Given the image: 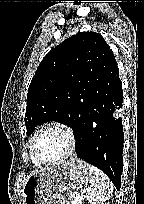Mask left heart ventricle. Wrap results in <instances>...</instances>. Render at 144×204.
<instances>
[{
  "instance_id": "left-heart-ventricle-1",
  "label": "left heart ventricle",
  "mask_w": 144,
  "mask_h": 204,
  "mask_svg": "<svg viewBox=\"0 0 144 204\" xmlns=\"http://www.w3.org/2000/svg\"><path fill=\"white\" fill-rule=\"evenodd\" d=\"M66 135L57 129L43 132L36 143V154L43 161H52L63 156L68 150Z\"/></svg>"
}]
</instances>
